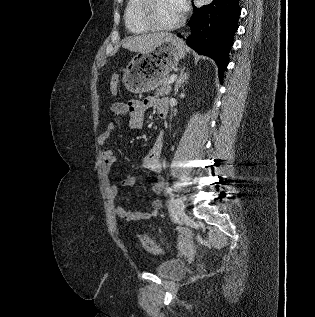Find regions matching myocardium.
I'll return each mask as SVG.
<instances>
[{
  "label": "myocardium",
  "instance_id": "f54148a6",
  "mask_svg": "<svg viewBox=\"0 0 315 317\" xmlns=\"http://www.w3.org/2000/svg\"><path fill=\"white\" fill-rule=\"evenodd\" d=\"M156 0H142V4L140 6V19L141 21L148 26L150 29L159 30V31H168L173 30L179 27L183 21L184 17L181 15L178 20L171 24H160L158 23L153 15V9Z\"/></svg>",
  "mask_w": 315,
  "mask_h": 317
}]
</instances>
